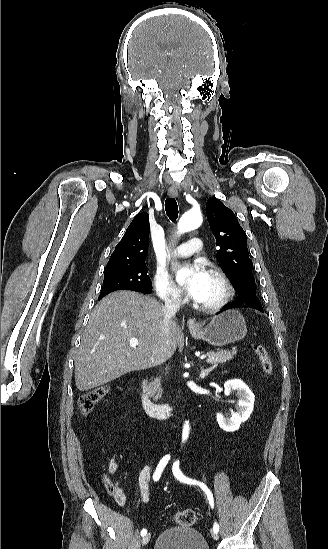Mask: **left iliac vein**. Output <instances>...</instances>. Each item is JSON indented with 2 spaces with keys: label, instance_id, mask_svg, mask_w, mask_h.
Segmentation results:
<instances>
[{
  "label": "left iliac vein",
  "instance_id": "1",
  "mask_svg": "<svg viewBox=\"0 0 328 549\" xmlns=\"http://www.w3.org/2000/svg\"><path fill=\"white\" fill-rule=\"evenodd\" d=\"M211 535L214 539H218V534L216 532L212 531Z\"/></svg>",
  "mask_w": 328,
  "mask_h": 549
}]
</instances>
